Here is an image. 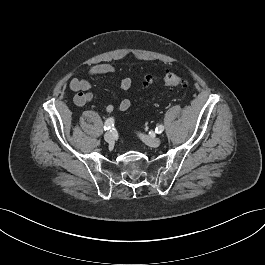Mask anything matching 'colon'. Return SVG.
<instances>
[{
    "label": "colon",
    "mask_w": 265,
    "mask_h": 265,
    "mask_svg": "<svg viewBox=\"0 0 265 265\" xmlns=\"http://www.w3.org/2000/svg\"><path fill=\"white\" fill-rule=\"evenodd\" d=\"M164 85L174 89H184L188 87V82L183 77L167 72L163 78ZM155 83V78L151 74H147L144 78V84L150 86Z\"/></svg>",
    "instance_id": "1"
}]
</instances>
